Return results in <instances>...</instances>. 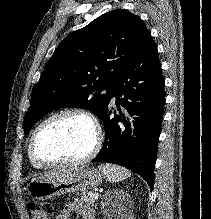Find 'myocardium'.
<instances>
[{
	"instance_id": "f54148a6",
	"label": "myocardium",
	"mask_w": 211,
	"mask_h": 219,
	"mask_svg": "<svg viewBox=\"0 0 211 219\" xmlns=\"http://www.w3.org/2000/svg\"><path fill=\"white\" fill-rule=\"evenodd\" d=\"M63 116H77L87 121L93 130V134H94L93 145L91 149L89 150V152L79 159L72 160V161H46L43 158H41L36 152L35 145H36L37 138L40 132L42 131V129L47 124ZM101 145H102L101 127L98 121L96 120V118L92 114L84 110H80V109H64V110L58 111L50 115L35 128L31 136L30 142H29L28 152L31 158L38 165L44 168H67V167L81 166L91 161L99 153L101 149Z\"/></svg>"
}]
</instances>
